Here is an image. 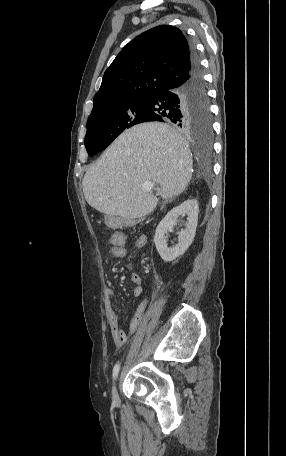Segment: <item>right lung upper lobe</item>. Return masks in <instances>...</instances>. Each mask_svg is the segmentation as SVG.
<instances>
[{
    "label": "right lung upper lobe",
    "instance_id": "cb5924a9",
    "mask_svg": "<svg viewBox=\"0 0 286 456\" xmlns=\"http://www.w3.org/2000/svg\"><path fill=\"white\" fill-rule=\"evenodd\" d=\"M191 45L176 27L160 25L129 42L105 71L91 114L121 100L147 98L185 82Z\"/></svg>",
    "mask_w": 286,
    "mask_h": 456
}]
</instances>
